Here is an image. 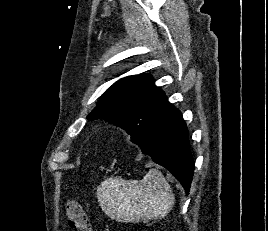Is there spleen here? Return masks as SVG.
<instances>
[{"label":"spleen","mask_w":268,"mask_h":231,"mask_svg":"<svg viewBox=\"0 0 268 231\" xmlns=\"http://www.w3.org/2000/svg\"><path fill=\"white\" fill-rule=\"evenodd\" d=\"M97 197L107 216L123 222L164 218L175 202L170 185L155 168L142 180L110 177L98 186Z\"/></svg>","instance_id":"1"}]
</instances>
